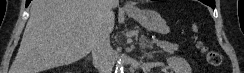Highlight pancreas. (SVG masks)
<instances>
[{
	"label": "pancreas",
	"mask_w": 244,
	"mask_h": 73,
	"mask_svg": "<svg viewBox=\"0 0 244 73\" xmlns=\"http://www.w3.org/2000/svg\"><path fill=\"white\" fill-rule=\"evenodd\" d=\"M157 46H159L160 48L163 49L164 52L169 53V54H173L174 52H176L178 50L177 44L166 42V41H159L157 43Z\"/></svg>",
	"instance_id": "1"
}]
</instances>
